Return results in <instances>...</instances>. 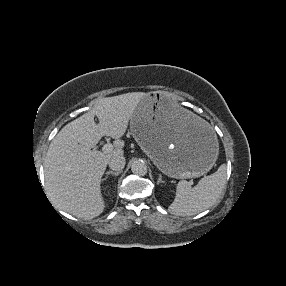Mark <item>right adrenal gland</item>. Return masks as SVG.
I'll return each mask as SVG.
<instances>
[{
	"label": "right adrenal gland",
	"mask_w": 286,
	"mask_h": 286,
	"mask_svg": "<svg viewBox=\"0 0 286 286\" xmlns=\"http://www.w3.org/2000/svg\"><path fill=\"white\" fill-rule=\"evenodd\" d=\"M121 172L120 171H117V172H114V171H107L106 172V175H114V176H118Z\"/></svg>",
	"instance_id": "obj_1"
}]
</instances>
